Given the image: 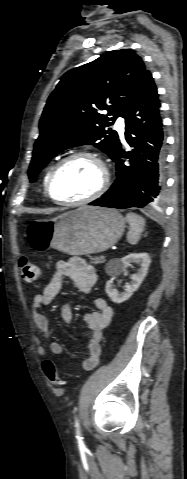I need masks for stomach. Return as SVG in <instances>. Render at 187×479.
<instances>
[{
    "instance_id": "stomach-1",
    "label": "stomach",
    "mask_w": 187,
    "mask_h": 479,
    "mask_svg": "<svg viewBox=\"0 0 187 479\" xmlns=\"http://www.w3.org/2000/svg\"><path fill=\"white\" fill-rule=\"evenodd\" d=\"M125 219L114 209L83 206L53 219H35L27 237L37 252L55 248L70 255L100 253L123 235Z\"/></svg>"
}]
</instances>
